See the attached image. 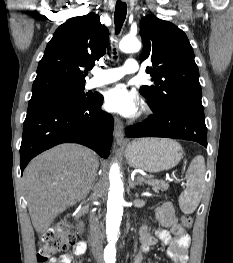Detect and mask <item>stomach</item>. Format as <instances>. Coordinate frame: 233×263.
<instances>
[{
    "mask_svg": "<svg viewBox=\"0 0 233 263\" xmlns=\"http://www.w3.org/2000/svg\"><path fill=\"white\" fill-rule=\"evenodd\" d=\"M124 153L130 166L155 173L177 165L183 156V149L171 139L143 138L130 142Z\"/></svg>",
    "mask_w": 233,
    "mask_h": 263,
    "instance_id": "obj_1",
    "label": "stomach"
}]
</instances>
